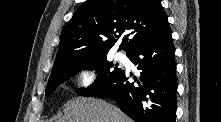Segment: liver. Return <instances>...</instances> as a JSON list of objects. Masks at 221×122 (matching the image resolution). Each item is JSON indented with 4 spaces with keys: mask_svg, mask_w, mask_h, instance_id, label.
Returning a JSON list of instances; mask_svg holds the SVG:
<instances>
[{
    "mask_svg": "<svg viewBox=\"0 0 221 122\" xmlns=\"http://www.w3.org/2000/svg\"><path fill=\"white\" fill-rule=\"evenodd\" d=\"M59 122H131V119L104 100L75 97L66 103Z\"/></svg>",
    "mask_w": 221,
    "mask_h": 122,
    "instance_id": "1",
    "label": "liver"
}]
</instances>
